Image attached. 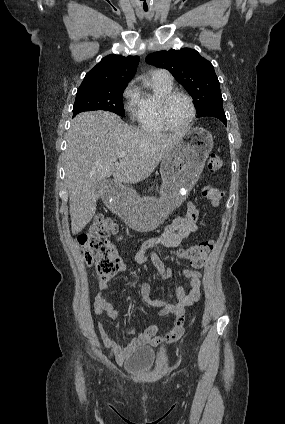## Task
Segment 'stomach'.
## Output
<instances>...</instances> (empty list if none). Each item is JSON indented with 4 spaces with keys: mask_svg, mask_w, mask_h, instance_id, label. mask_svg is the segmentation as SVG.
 Instances as JSON below:
<instances>
[{
    "mask_svg": "<svg viewBox=\"0 0 285 424\" xmlns=\"http://www.w3.org/2000/svg\"><path fill=\"white\" fill-rule=\"evenodd\" d=\"M212 148V135L203 128L193 129L163 158L159 197L125 196L119 192L110 202L111 208L135 230L157 228L185 200L199 179Z\"/></svg>",
    "mask_w": 285,
    "mask_h": 424,
    "instance_id": "stomach-1",
    "label": "stomach"
}]
</instances>
